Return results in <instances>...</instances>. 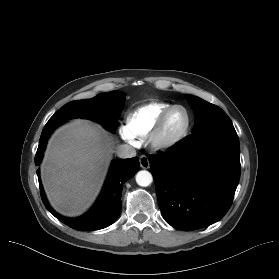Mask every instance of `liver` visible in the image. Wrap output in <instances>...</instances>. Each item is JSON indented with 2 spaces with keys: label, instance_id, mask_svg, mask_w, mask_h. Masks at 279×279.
I'll use <instances>...</instances> for the list:
<instances>
[{
  "label": "liver",
  "instance_id": "liver-1",
  "mask_svg": "<svg viewBox=\"0 0 279 279\" xmlns=\"http://www.w3.org/2000/svg\"><path fill=\"white\" fill-rule=\"evenodd\" d=\"M113 152V137L98 124L75 120L58 128L41 166L53 208L65 216L82 214L97 197Z\"/></svg>",
  "mask_w": 279,
  "mask_h": 279
}]
</instances>
